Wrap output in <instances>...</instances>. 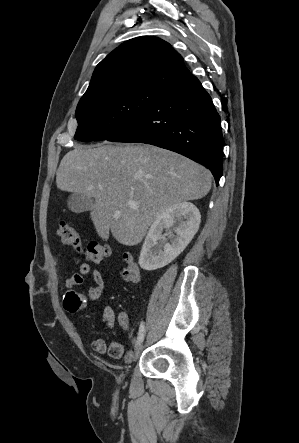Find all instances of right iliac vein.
Listing matches in <instances>:
<instances>
[{"label":"right iliac vein","instance_id":"63e3f726","mask_svg":"<svg viewBox=\"0 0 299 443\" xmlns=\"http://www.w3.org/2000/svg\"><path fill=\"white\" fill-rule=\"evenodd\" d=\"M143 344H140L136 347L135 353H134V357L133 360L136 361L138 359V357L140 356L142 350H143Z\"/></svg>","mask_w":299,"mask_h":443}]
</instances>
